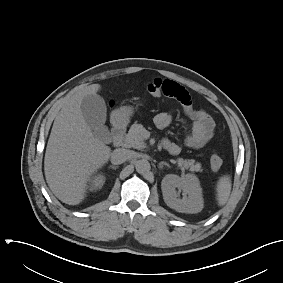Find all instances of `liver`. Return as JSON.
Wrapping results in <instances>:
<instances>
[{
  "instance_id": "1",
  "label": "liver",
  "mask_w": 283,
  "mask_h": 283,
  "mask_svg": "<svg viewBox=\"0 0 283 283\" xmlns=\"http://www.w3.org/2000/svg\"><path fill=\"white\" fill-rule=\"evenodd\" d=\"M101 86L84 87L65 100L56 116L44 158L46 182L63 203L77 205L86 196L87 182L110 158L111 148L94 136L86 123L81 102Z\"/></svg>"
}]
</instances>
